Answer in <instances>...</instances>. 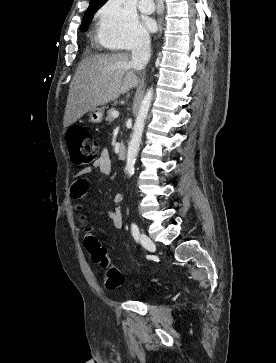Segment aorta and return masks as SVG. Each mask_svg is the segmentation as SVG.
Listing matches in <instances>:
<instances>
[{"mask_svg":"<svg viewBox=\"0 0 276 363\" xmlns=\"http://www.w3.org/2000/svg\"><path fill=\"white\" fill-rule=\"evenodd\" d=\"M152 98H153V88L151 87L147 90L141 102L139 112L134 124L131 140L128 146L126 171L129 177H131L134 174V164L136 161L137 153L139 151L145 120L147 118L148 111L151 106Z\"/></svg>","mask_w":276,"mask_h":363,"instance_id":"762f6f07","label":"aorta"}]
</instances>
